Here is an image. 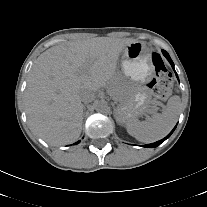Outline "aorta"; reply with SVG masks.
<instances>
[{
    "label": "aorta",
    "mask_w": 207,
    "mask_h": 207,
    "mask_svg": "<svg viewBox=\"0 0 207 207\" xmlns=\"http://www.w3.org/2000/svg\"><path fill=\"white\" fill-rule=\"evenodd\" d=\"M95 109L99 113H108L110 110V107L108 106V104L105 101H99L96 104Z\"/></svg>",
    "instance_id": "1"
}]
</instances>
